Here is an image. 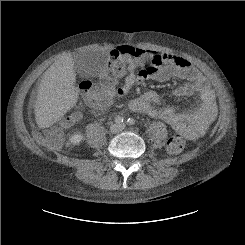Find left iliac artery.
I'll use <instances>...</instances> for the list:
<instances>
[{"instance_id": "obj_1", "label": "left iliac artery", "mask_w": 245, "mask_h": 245, "mask_svg": "<svg viewBox=\"0 0 245 245\" xmlns=\"http://www.w3.org/2000/svg\"><path fill=\"white\" fill-rule=\"evenodd\" d=\"M127 123L129 125H134L135 124V119L134 118H128Z\"/></svg>"}]
</instances>
